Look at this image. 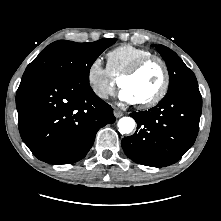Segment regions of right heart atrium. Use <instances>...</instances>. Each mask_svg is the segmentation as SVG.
<instances>
[{"label":"right heart atrium","instance_id":"d8ad5b80","mask_svg":"<svg viewBox=\"0 0 221 221\" xmlns=\"http://www.w3.org/2000/svg\"><path fill=\"white\" fill-rule=\"evenodd\" d=\"M86 82L91 92L101 100L108 99L116 92L114 78L100 57L94 58L87 67Z\"/></svg>","mask_w":221,"mask_h":221}]
</instances>
